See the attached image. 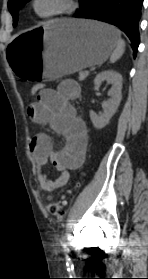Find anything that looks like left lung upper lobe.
<instances>
[{"instance_id": "left-lung-upper-lobe-1", "label": "left lung upper lobe", "mask_w": 148, "mask_h": 279, "mask_svg": "<svg viewBox=\"0 0 148 279\" xmlns=\"http://www.w3.org/2000/svg\"><path fill=\"white\" fill-rule=\"evenodd\" d=\"M28 1L30 0H9L8 2V8L10 13L13 16V21H14V26L16 25L17 22V13L18 10L23 7Z\"/></svg>"}]
</instances>
